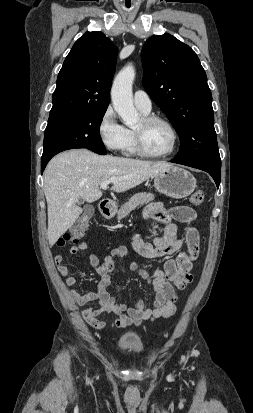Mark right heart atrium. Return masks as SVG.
<instances>
[{
    "mask_svg": "<svg viewBox=\"0 0 253 413\" xmlns=\"http://www.w3.org/2000/svg\"><path fill=\"white\" fill-rule=\"evenodd\" d=\"M99 138L103 145L111 151H123L128 144V129L118 120L112 106L103 111L97 125Z\"/></svg>",
    "mask_w": 253,
    "mask_h": 413,
    "instance_id": "1",
    "label": "right heart atrium"
}]
</instances>
